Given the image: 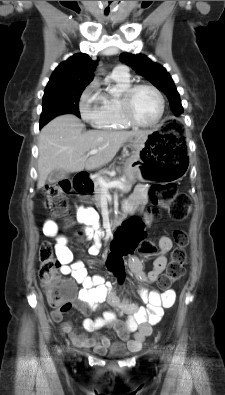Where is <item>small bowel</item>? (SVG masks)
I'll return each mask as SVG.
<instances>
[{"mask_svg": "<svg viewBox=\"0 0 225 395\" xmlns=\"http://www.w3.org/2000/svg\"><path fill=\"white\" fill-rule=\"evenodd\" d=\"M146 203L147 185L139 184L124 203V209L127 213L134 214ZM76 216L77 220L86 226V233L93 240L89 254L98 255L101 250L102 237L98 232L97 212L91 208L79 207ZM149 222L150 218H146L145 223ZM42 231L45 236L56 241L55 250L60 262V272L70 275L74 282L81 285L77 296L69 301V309L74 306L83 314H88L90 310L95 309L98 304L103 302H107L112 307V310L105 311L101 316L84 320L83 328L91 335L75 332L70 321L62 323L63 332L69 334L75 346L93 348L98 353H104L114 343L107 336H99L98 332L105 327H112L130 350H139L145 338L151 334V326L161 319L164 309L172 307L175 303L176 296L173 290L158 292L156 290L148 291L146 288L148 284L154 283L164 271L167 265V254L173 246L172 240L168 236L160 237L159 254L150 271L144 270L142 261L138 257L133 256L128 260V266L140 285V298L146 304V307H139L136 304L122 301L115 293L111 282L106 281L101 275L89 276L83 263L74 261L73 254L67 246V238L59 232L55 221L46 220ZM117 311L126 315L124 321L117 318ZM64 312L54 309L52 311L53 320L60 322ZM132 333L134 336L130 339Z\"/></svg>", "mask_w": 225, "mask_h": 395, "instance_id": "obj_1", "label": "small bowel"}]
</instances>
